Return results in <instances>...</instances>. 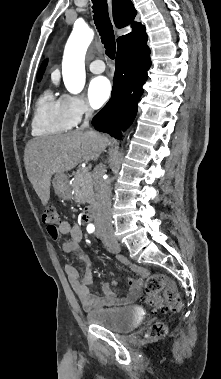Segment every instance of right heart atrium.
Returning <instances> with one entry per match:
<instances>
[{"label":"right heart atrium","instance_id":"right-heart-atrium-1","mask_svg":"<svg viewBox=\"0 0 221 379\" xmlns=\"http://www.w3.org/2000/svg\"><path fill=\"white\" fill-rule=\"evenodd\" d=\"M60 98L74 125L80 123L84 118L89 117L93 113L91 105L82 95L63 94Z\"/></svg>","mask_w":221,"mask_h":379}]
</instances>
